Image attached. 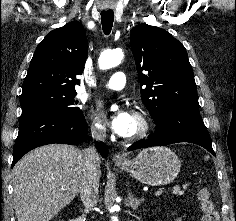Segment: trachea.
<instances>
[{"instance_id": "obj_1", "label": "trachea", "mask_w": 236, "mask_h": 221, "mask_svg": "<svg viewBox=\"0 0 236 221\" xmlns=\"http://www.w3.org/2000/svg\"><path fill=\"white\" fill-rule=\"evenodd\" d=\"M114 13L113 11L101 12L102 29L105 35H109L113 26Z\"/></svg>"}]
</instances>
